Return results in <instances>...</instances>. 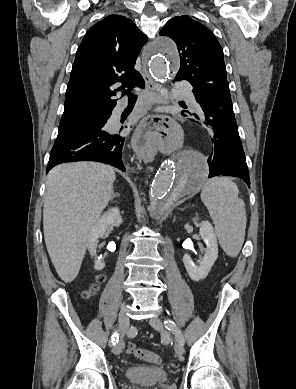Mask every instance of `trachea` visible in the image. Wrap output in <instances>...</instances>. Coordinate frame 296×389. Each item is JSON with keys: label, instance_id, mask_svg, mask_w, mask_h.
<instances>
[{"label": "trachea", "instance_id": "1", "mask_svg": "<svg viewBox=\"0 0 296 389\" xmlns=\"http://www.w3.org/2000/svg\"><path fill=\"white\" fill-rule=\"evenodd\" d=\"M137 98L136 95H133V94H129V99L130 100H135Z\"/></svg>", "mask_w": 296, "mask_h": 389}]
</instances>
